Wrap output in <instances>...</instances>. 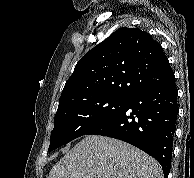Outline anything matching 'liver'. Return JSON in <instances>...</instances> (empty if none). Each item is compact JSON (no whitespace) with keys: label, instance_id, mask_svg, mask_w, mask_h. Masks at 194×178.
I'll return each mask as SVG.
<instances>
[{"label":"liver","instance_id":"obj_1","mask_svg":"<svg viewBox=\"0 0 194 178\" xmlns=\"http://www.w3.org/2000/svg\"><path fill=\"white\" fill-rule=\"evenodd\" d=\"M48 178H163L159 163L123 141L87 135L51 169Z\"/></svg>","mask_w":194,"mask_h":178}]
</instances>
